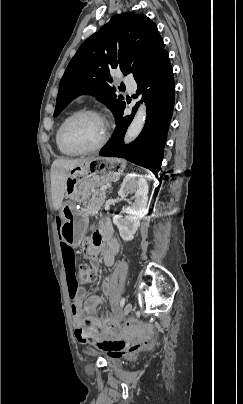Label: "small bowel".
Listing matches in <instances>:
<instances>
[{"label": "small bowel", "instance_id": "small-bowel-1", "mask_svg": "<svg viewBox=\"0 0 243 404\" xmlns=\"http://www.w3.org/2000/svg\"><path fill=\"white\" fill-rule=\"evenodd\" d=\"M84 253L90 259L93 268L97 269L100 256L106 266H112L120 245L117 241L110 221L104 220L98 230L84 242ZM61 253L65 268L69 295L72 300L71 313L75 326V336L80 343L96 344L100 335L107 333L112 326L113 319L108 312L94 314L101 299L92 296L83 304L84 289L79 286L75 275V252L67 243L61 244Z\"/></svg>", "mask_w": 243, "mask_h": 404}]
</instances>
